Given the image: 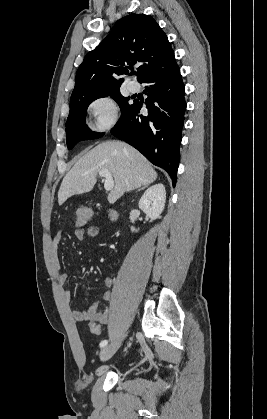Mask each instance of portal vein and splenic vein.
Masks as SVG:
<instances>
[{
    "label": "portal vein and splenic vein",
    "instance_id": "obj_1",
    "mask_svg": "<svg viewBox=\"0 0 267 419\" xmlns=\"http://www.w3.org/2000/svg\"><path fill=\"white\" fill-rule=\"evenodd\" d=\"M99 176L103 177L105 179L104 182V188L107 191H110L114 187V181L112 178V174L107 169H101L99 171Z\"/></svg>",
    "mask_w": 267,
    "mask_h": 419
}]
</instances>
